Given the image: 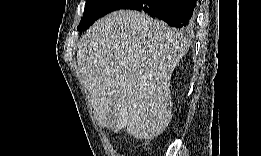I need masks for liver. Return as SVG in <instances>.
<instances>
[{
  "mask_svg": "<svg viewBox=\"0 0 261 156\" xmlns=\"http://www.w3.org/2000/svg\"><path fill=\"white\" fill-rule=\"evenodd\" d=\"M189 46L182 32L142 12L96 21L79 42L77 63L98 125L141 140L160 135L172 114L171 74Z\"/></svg>",
  "mask_w": 261,
  "mask_h": 156,
  "instance_id": "1",
  "label": "liver"
}]
</instances>
